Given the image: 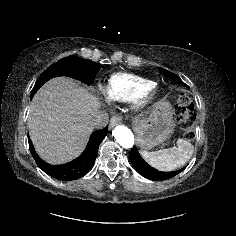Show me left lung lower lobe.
Returning a JSON list of instances; mask_svg holds the SVG:
<instances>
[{"label":"left lung lower lobe","mask_w":236,"mask_h":236,"mask_svg":"<svg viewBox=\"0 0 236 236\" xmlns=\"http://www.w3.org/2000/svg\"><path fill=\"white\" fill-rule=\"evenodd\" d=\"M129 158L131 163L133 164L134 168L136 171L142 175L143 177L150 179V180H165V179H170L174 177L175 175L179 174L181 171L185 169H179L177 171H172V172H161L150 165H148L140 156L138 150L136 147H133L130 151Z\"/></svg>","instance_id":"0a47b994"}]
</instances>
